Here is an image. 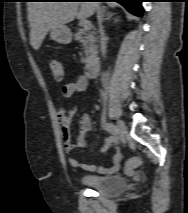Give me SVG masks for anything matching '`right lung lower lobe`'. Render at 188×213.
<instances>
[{
	"label": "right lung lower lobe",
	"instance_id": "right-lung-lower-lobe-1",
	"mask_svg": "<svg viewBox=\"0 0 188 213\" xmlns=\"http://www.w3.org/2000/svg\"><path fill=\"white\" fill-rule=\"evenodd\" d=\"M94 1L118 2L122 4L129 12L139 17H141L143 13V8L141 6L143 0H94Z\"/></svg>",
	"mask_w": 188,
	"mask_h": 213
}]
</instances>
